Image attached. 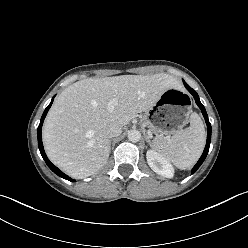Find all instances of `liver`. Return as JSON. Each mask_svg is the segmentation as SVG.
<instances>
[{"label": "liver", "instance_id": "6515ba94", "mask_svg": "<svg viewBox=\"0 0 248 248\" xmlns=\"http://www.w3.org/2000/svg\"><path fill=\"white\" fill-rule=\"evenodd\" d=\"M179 87L177 79L164 73L87 78L70 85L56 98L43 125L49 159L73 178L95 174L110 154L108 126L127 125L166 90ZM113 98L118 104L110 112Z\"/></svg>", "mask_w": 248, "mask_h": 248}]
</instances>
